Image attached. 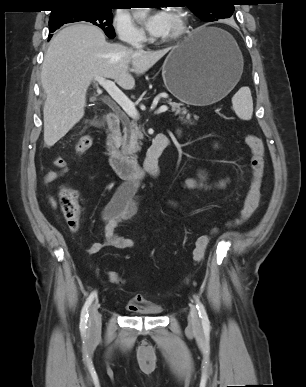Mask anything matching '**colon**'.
Wrapping results in <instances>:
<instances>
[{"label": "colon", "mask_w": 306, "mask_h": 387, "mask_svg": "<svg viewBox=\"0 0 306 387\" xmlns=\"http://www.w3.org/2000/svg\"><path fill=\"white\" fill-rule=\"evenodd\" d=\"M94 143L90 135L82 136L76 144V152L83 154L89 150ZM245 143L251 151L250 168L252 179L249 191L245 197L243 208L239 216L230 223V226L237 227L247 222L259 206L261 198V187L265 173V149L262 140L253 134L245 136ZM61 212L72 230H77L80 224V205L78 193L72 188H62L58 195ZM211 235H202L196 242L193 250V260L201 263L211 242ZM107 279L116 285H123L124 278L117 272L107 273Z\"/></svg>", "instance_id": "5ec220e1"}]
</instances>
